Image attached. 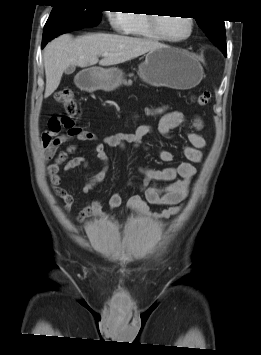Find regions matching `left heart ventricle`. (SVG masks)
Instances as JSON below:
<instances>
[{
  "mask_svg": "<svg viewBox=\"0 0 261 355\" xmlns=\"http://www.w3.org/2000/svg\"><path fill=\"white\" fill-rule=\"evenodd\" d=\"M159 25L162 33L173 39L181 38L189 32V23L185 17L160 18Z\"/></svg>",
  "mask_w": 261,
  "mask_h": 355,
  "instance_id": "left-heart-ventricle-1",
  "label": "left heart ventricle"
}]
</instances>
